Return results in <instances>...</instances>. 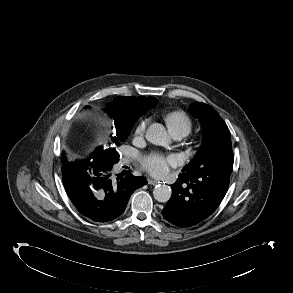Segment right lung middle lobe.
I'll return each mask as SVG.
<instances>
[{
  "instance_id": "obj_1",
  "label": "right lung middle lobe",
  "mask_w": 293,
  "mask_h": 293,
  "mask_svg": "<svg viewBox=\"0 0 293 293\" xmlns=\"http://www.w3.org/2000/svg\"><path fill=\"white\" fill-rule=\"evenodd\" d=\"M133 125L122 127L116 131V136L112 137L111 140L115 146H118L121 141H125L128 138V135L132 129ZM99 153H102L103 156L111 161V162H117L119 160V155L117 152H115V148L111 147L109 149H105V151L101 148V151Z\"/></svg>"
}]
</instances>
